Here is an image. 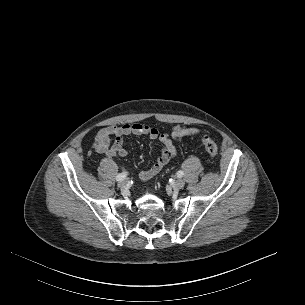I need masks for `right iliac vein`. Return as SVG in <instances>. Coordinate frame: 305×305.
Returning <instances> with one entry per match:
<instances>
[{"mask_svg":"<svg viewBox=\"0 0 305 305\" xmlns=\"http://www.w3.org/2000/svg\"><path fill=\"white\" fill-rule=\"evenodd\" d=\"M127 184L128 182L126 180H123L121 182L118 183V187L121 189V190H125L126 187H127Z\"/></svg>","mask_w":305,"mask_h":305,"instance_id":"1","label":"right iliac vein"}]
</instances>
